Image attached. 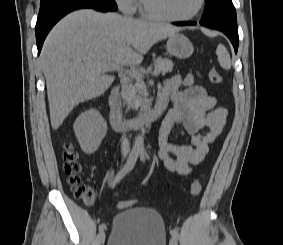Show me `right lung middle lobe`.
I'll list each match as a JSON object with an SVG mask.
<instances>
[{
	"instance_id": "dd1d6c3e",
	"label": "right lung middle lobe",
	"mask_w": 283,
	"mask_h": 245,
	"mask_svg": "<svg viewBox=\"0 0 283 245\" xmlns=\"http://www.w3.org/2000/svg\"><path fill=\"white\" fill-rule=\"evenodd\" d=\"M60 1H64V0H41L40 1V8L45 7L47 5L53 4V3H57Z\"/></svg>"
}]
</instances>
